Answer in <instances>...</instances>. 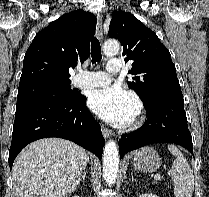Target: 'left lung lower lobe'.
Returning <instances> with one entry per match:
<instances>
[{
  "mask_svg": "<svg viewBox=\"0 0 209 197\" xmlns=\"http://www.w3.org/2000/svg\"><path fill=\"white\" fill-rule=\"evenodd\" d=\"M144 108L148 118L141 128L121 136L120 156L158 142L178 144L193 155L192 137L188 130L183 97H159L144 105Z\"/></svg>",
  "mask_w": 209,
  "mask_h": 197,
  "instance_id": "left-lung-lower-lobe-1",
  "label": "left lung lower lobe"
}]
</instances>
